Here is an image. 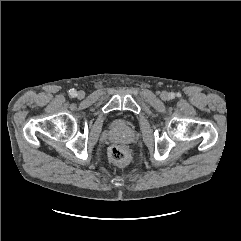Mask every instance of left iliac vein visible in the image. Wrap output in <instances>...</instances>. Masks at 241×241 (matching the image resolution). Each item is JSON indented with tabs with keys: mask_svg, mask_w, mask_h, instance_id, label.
<instances>
[{
	"mask_svg": "<svg viewBox=\"0 0 241 241\" xmlns=\"http://www.w3.org/2000/svg\"><path fill=\"white\" fill-rule=\"evenodd\" d=\"M168 97H169V95H168L167 92L163 91V92L161 93V99H162V100H167Z\"/></svg>",
	"mask_w": 241,
	"mask_h": 241,
	"instance_id": "obj_1",
	"label": "left iliac vein"
}]
</instances>
